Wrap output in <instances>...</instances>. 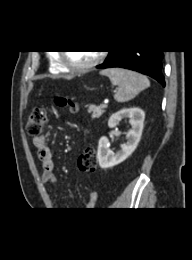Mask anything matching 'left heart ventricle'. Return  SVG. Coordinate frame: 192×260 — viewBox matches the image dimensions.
Here are the masks:
<instances>
[{
	"mask_svg": "<svg viewBox=\"0 0 192 260\" xmlns=\"http://www.w3.org/2000/svg\"><path fill=\"white\" fill-rule=\"evenodd\" d=\"M66 55L73 65H85L94 60L98 54L93 51H70Z\"/></svg>",
	"mask_w": 192,
	"mask_h": 260,
	"instance_id": "b2bd125f",
	"label": "left heart ventricle"
}]
</instances>
